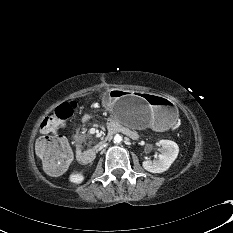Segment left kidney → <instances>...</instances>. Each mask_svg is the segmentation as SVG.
Wrapping results in <instances>:
<instances>
[{
    "label": "left kidney",
    "mask_w": 233,
    "mask_h": 233,
    "mask_svg": "<svg viewBox=\"0 0 233 233\" xmlns=\"http://www.w3.org/2000/svg\"><path fill=\"white\" fill-rule=\"evenodd\" d=\"M157 145L161 146L158 160H145L142 163L143 168L151 173H162L166 171L175 161L179 153V147L174 141L160 140Z\"/></svg>",
    "instance_id": "5707ae66"
}]
</instances>
